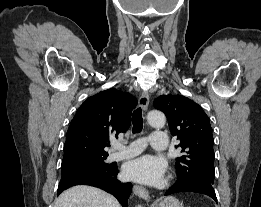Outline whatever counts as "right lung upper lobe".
Returning <instances> with one entry per match:
<instances>
[{"mask_svg":"<svg viewBox=\"0 0 261 207\" xmlns=\"http://www.w3.org/2000/svg\"><path fill=\"white\" fill-rule=\"evenodd\" d=\"M137 99L111 88L85 100L67 131L63 161L86 156H108L110 136L118 137L130 126Z\"/></svg>","mask_w":261,"mask_h":207,"instance_id":"right-lung-upper-lobe-1","label":"right lung upper lobe"}]
</instances>
